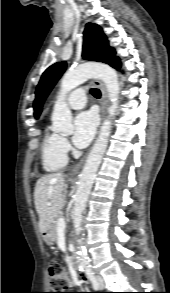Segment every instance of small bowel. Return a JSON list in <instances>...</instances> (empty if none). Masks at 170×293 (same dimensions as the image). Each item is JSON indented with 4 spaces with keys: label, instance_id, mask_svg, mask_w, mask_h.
<instances>
[{
    "label": "small bowel",
    "instance_id": "small-bowel-1",
    "mask_svg": "<svg viewBox=\"0 0 170 293\" xmlns=\"http://www.w3.org/2000/svg\"><path fill=\"white\" fill-rule=\"evenodd\" d=\"M86 282H87V278H86V276L83 275V274H81V276H80V280H79L78 282H72V283H73V284H77V283H79V284L84 285V284H86Z\"/></svg>",
    "mask_w": 170,
    "mask_h": 293
}]
</instances>
